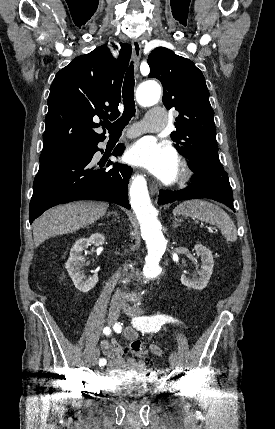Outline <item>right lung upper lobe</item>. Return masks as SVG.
<instances>
[{"label":"right lung upper lobe","instance_id":"1","mask_svg":"<svg viewBox=\"0 0 275 429\" xmlns=\"http://www.w3.org/2000/svg\"><path fill=\"white\" fill-rule=\"evenodd\" d=\"M118 59L104 45L81 55L61 69L50 87L46 128L40 158L105 139L94 128L96 119L118 117L120 89L131 56V45L120 44Z\"/></svg>","mask_w":275,"mask_h":429}]
</instances>
